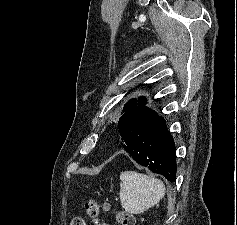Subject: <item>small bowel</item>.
I'll use <instances>...</instances> for the list:
<instances>
[{
	"label": "small bowel",
	"instance_id": "1",
	"mask_svg": "<svg viewBox=\"0 0 237 225\" xmlns=\"http://www.w3.org/2000/svg\"><path fill=\"white\" fill-rule=\"evenodd\" d=\"M95 225H108L107 223L97 222Z\"/></svg>",
	"mask_w": 237,
	"mask_h": 225
}]
</instances>
